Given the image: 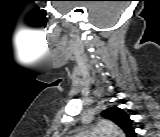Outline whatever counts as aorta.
Instances as JSON below:
<instances>
[{
	"instance_id": "aorta-1",
	"label": "aorta",
	"mask_w": 160,
	"mask_h": 137,
	"mask_svg": "<svg viewBox=\"0 0 160 137\" xmlns=\"http://www.w3.org/2000/svg\"><path fill=\"white\" fill-rule=\"evenodd\" d=\"M96 133L105 134L110 137H123L124 133L112 122L102 121L96 129Z\"/></svg>"
}]
</instances>
